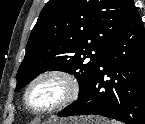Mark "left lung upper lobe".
<instances>
[{"mask_svg":"<svg viewBox=\"0 0 145 124\" xmlns=\"http://www.w3.org/2000/svg\"><path fill=\"white\" fill-rule=\"evenodd\" d=\"M134 9L133 0H49L30 34L15 91L59 70L77 78L80 97Z\"/></svg>","mask_w":145,"mask_h":124,"instance_id":"1","label":"left lung upper lobe"}]
</instances>
